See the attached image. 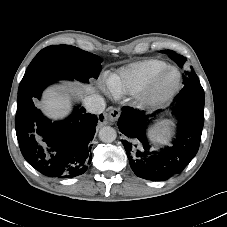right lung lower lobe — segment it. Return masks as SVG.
Here are the masks:
<instances>
[{
  "instance_id": "right-lung-lower-lobe-1",
  "label": "right lung lower lobe",
  "mask_w": 227,
  "mask_h": 227,
  "mask_svg": "<svg viewBox=\"0 0 227 227\" xmlns=\"http://www.w3.org/2000/svg\"><path fill=\"white\" fill-rule=\"evenodd\" d=\"M53 82L37 83L18 94L16 135L22 155L36 170L49 177H75L91 162V141L99 119L81 107L63 122L52 123L43 116L34 101Z\"/></svg>"
}]
</instances>
